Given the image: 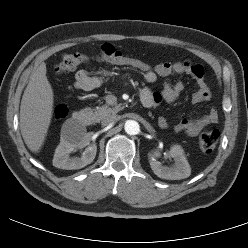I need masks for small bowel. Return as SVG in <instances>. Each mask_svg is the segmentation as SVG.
<instances>
[{
    "mask_svg": "<svg viewBox=\"0 0 248 248\" xmlns=\"http://www.w3.org/2000/svg\"><path fill=\"white\" fill-rule=\"evenodd\" d=\"M145 82L149 85L154 84L158 77H167L171 75L188 74L192 76L197 85L198 90L192 95L193 103L208 102L212 98L211 91L204 77V68L196 63L188 61L179 62H162L152 67L150 70L142 71ZM101 79L92 75L87 70H79L75 74L74 87L81 91H91L98 88ZM184 90L182 81L167 82L161 92L152 91L150 88H144L141 97H149L152 100L151 106H158L161 102L171 103L179 98ZM219 113L212 108L207 114L193 119H183L178 122L174 129L178 133H184L188 136L198 135L204 128L210 124L217 123ZM158 126L162 129L169 127V121L165 117L158 119Z\"/></svg>",
    "mask_w": 248,
    "mask_h": 248,
    "instance_id": "small-bowel-1",
    "label": "small bowel"
}]
</instances>
